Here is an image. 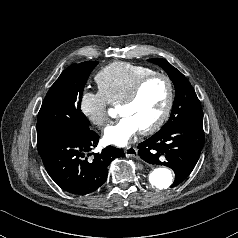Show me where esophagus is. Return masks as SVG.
I'll use <instances>...</instances> for the list:
<instances>
[{
	"mask_svg": "<svg viewBox=\"0 0 238 238\" xmlns=\"http://www.w3.org/2000/svg\"><path fill=\"white\" fill-rule=\"evenodd\" d=\"M124 151L126 156L128 157H134V158L137 157L138 150L135 147H127Z\"/></svg>",
	"mask_w": 238,
	"mask_h": 238,
	"instance_id": "esophagus-1",
	"label": "esophagus"
}]
</instances>
